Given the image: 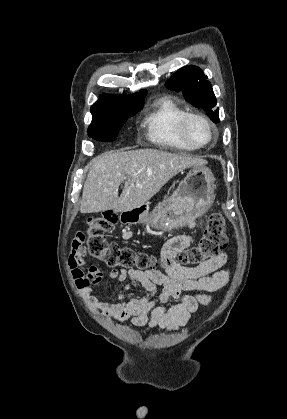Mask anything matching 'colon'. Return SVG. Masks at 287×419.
<instances>
[{"label":"colon","instance_id":"colon-1","mask_svg":"<svg viewBox=\"0 0 287 419\" xmlns=\"http://www.w3.org/2000/svg\"><path fill=\"white\" fill-rule=\"evenodd\" d=\"M118 215L112 210L90 218L87 229L79 233L76 239L85 243L91 257L102 260L109 267L126 270H156V258L136 250L109 242L106 234L117 223ZM228 246L225 221L222 215L213 213L209 216L203 236L199 242L175 257L177 263L185 267H198L219 256ZM171 259L163 258L162 265L167 268Z\"/></svg>","mask_w":287,"mask_h":419}]
</instances>
